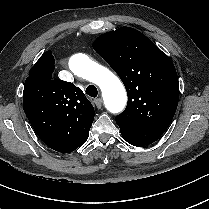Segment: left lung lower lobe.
Wrapping results in <instances>:
<instances>
[{
  "mask_svg": "<svg viewBox=\"0 0 209 209\" xmlns=\"http://www.w3.org/2000/svg\"><path fill=\"white\" fill-rule=\"evenodd\" d=\"M124 139L126 140V141H128L131 145H133V146H137V147H143V146H145V145H143V144H140V143H137V142H135V141H132V140H130V139H128V138H125L124 137Z\"/></svg>",
  "mask_w": 209,
  "mask_h": 209,
  "instance_id": "left-lung-lower-lobe-1",
  "label": "left lung lower lobe"
}]
</instances>
